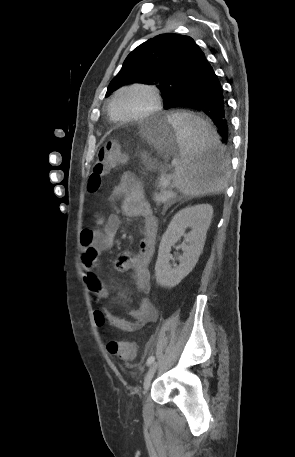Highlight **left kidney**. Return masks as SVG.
<instances>
[{
	"label": "left kidney",
	"mask_w": 295,
	"mask_h": 457,
	"mask_svg": "<svg viewBox=\"0 0 295 457\" xmlns=\"http://www.w3.org/2000/svg\"><path fill=\"white\" fill-rule=\"evenodd\" d=\"M212 215L213 208L209 204L187 207L174 215L160 242L155 265L156 281L160 286L175 287L195 267L204 248ZM187 227H191V231L186 235ZM184 235L187 244L182 247L183 256L179 265L172 268L169 264L171 248Z\"/></svg>",
	"instance_id": "1"
}]
</instances>
